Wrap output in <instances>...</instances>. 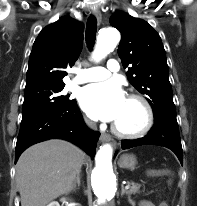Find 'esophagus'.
<instances>
[{
  "label": "esophagus",
  "instance_id": "34e87169",
  "mask_svg": "<svg viewBox=\"0 0 197 206\" xmlns=\"http://www.w3.org/2000/svg\"><path fill=\"white\" fill-rule=\"evenodd\" d=\"M93 15L95 16V18L97 19L98 23L101 22L102 20V15L101 12L98 9H94L93 10ZM100 141L101 143H109L111 146H113L114 148H116L117 144L116 142L111 138V136L109 134L106 133H101L100 135Z\"/></svg>",
  "mask_w": 197,
  "mask_h": 206
}]
</instances>
